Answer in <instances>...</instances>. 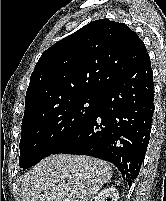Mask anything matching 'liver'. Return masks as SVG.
Masks as SVG:
<instances>
[{"label": "liver", "instance_id": "obj_1", "mask_svg": "<svg viewBox=\"0 0 166 201\" xmlns=\"http://www.w3.org/2000/svg\"><path fill=\"white\" fill-rule=\"evenodd\" d=\"M111 177V166L102 160L51 155L22 176V201H92Z\"/></svg>", "mask_w": 166, "mask_h": 201}]
</instances>
